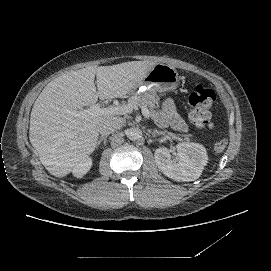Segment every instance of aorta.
Returning a JSON list of instances; mask_svg holds the SVG:
<instances>
[{"mask_svg": "<svg viewBox=\"0 0 271 271\" xmlns=\"http://www.w3.org/2000/svg\"><path fill=\"white\" fill-rule=\"evenodd\" d=\"M126 135L129 140L131 141H137L142 138V131L141 129L135 127V128H129L126 131Z\"/></svg>", "mask_w": 271, "mask_h": 271, "instance_id": "762f6f07", "label": "aorta"}]
</instances>
